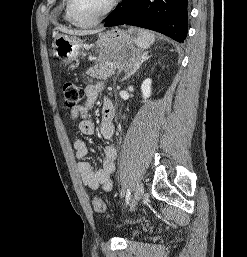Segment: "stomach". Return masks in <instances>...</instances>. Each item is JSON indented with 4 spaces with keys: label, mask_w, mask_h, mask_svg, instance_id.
<instances>
[{
    "label": "stomach",
    "mask_w": 247,
    "mask_h": 257,
    "mask_svg": "<svg viewBox=\"0 0 247 257\" xmlns=\"http://www.w3.org/2000/svg\"><path fill=\"white\" fill-rule=\"evenodd\" d=\"M137 34V31L128 32L119 28L100 34L96 41L98 59L121 68H131L141 55L140 50L133 45ZM53 47L54 53L66 63L76 59L85 49L81 39L64 34L54 36Z\"/></svg>",
    "instance_id": "obj_1"
}]
</instances>
